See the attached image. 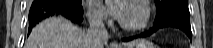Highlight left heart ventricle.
<instances>
[{
    "label": "left heart ventricle",
    "mask_w": 213,
    "mask_h": 48,
    "mask_svg": "<svg viewBox=\"0 0 213 48\" xmlns=\"http://www.w3.org/2000/svg\"><path fill=\"white\" fill-rule=\"evenodd\" d=\"M143 19V11L135 5H126V12L123 22L128 25H136Z\"/></svg>",
    "instance_id": "obj_1"
}]
</instances>
